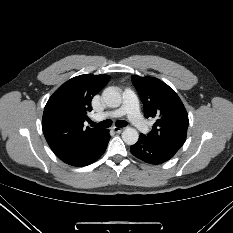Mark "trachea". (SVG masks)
Instances as JSON below:
<instances>
[{"label":"trachea","instance_id":"3493384b","mask_svg":"<svg viewBox=\"0 0 233 233\" xmlns=\"http://www.w3.org/2000/svg\"><path fill=\"white\" fill-rule=\"evenodd\" d=\"M92 126L99 127V128H109L111 126V121L110 120H104L99 123H94L91 122ZM116 126L118 127H125L127 126V122L124 120H119L116 122Z\"/></svg>","mask_w":233,"mask_h":233}]
</instances>
